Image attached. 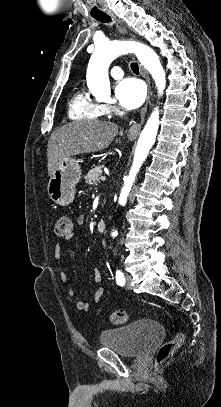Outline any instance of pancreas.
Segmentation results:
<instances>
[{
	"instance_id": "obj_1",
	"label": "pancreas",
	"mask_w": 221,
	"mask_h": 407,
	"mask_svg": "<svg viewBox=\"0 0 221 407\" xmlns=\"http://www.w3.org/2000/svg\"><path fill=\"white\" fill-rule=\"evenodd\" d=\"M102 168H103L102 165H98V166H95L94 168H92L87 173V175L85 176V180L88 185H92V184H95L96 182H98V180L102 174Z\"/></svg>"
}]
</instances>
